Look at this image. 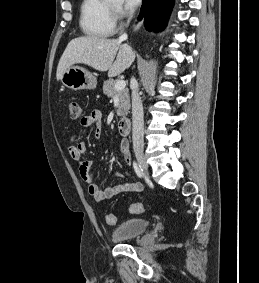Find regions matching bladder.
<instances>
[{
	"label": "bladder",
	"instance_id": "obj_1",
	"mask_svg": "<svg viewBox=\"0 0 259 283\" xmlns=\"http://www.w3.org/2000/svg\"><path fill=\"white\" fill-rule=\"evenodd\" d=\"M149 227L146 219L131 218L119 224L112 232V237L116 241H124L135 238L145 233Z\"/></svg>",
	"mask_w": 259,
	"mask_h": 283
}]
</instances>
